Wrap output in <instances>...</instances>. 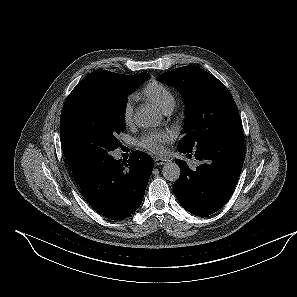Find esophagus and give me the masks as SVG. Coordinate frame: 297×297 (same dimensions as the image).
<instances>
[{
  "label": "esophagus",
  "instance_id": "esophagus-1",
  "mask_svg": "<svg viewBox=\"0 0 297 297\" xmlns=\"http://www.w3.org/2000/svg\"><path fill=\"white\" fill-rule=\"evenodd\" d=\"M154 161H155V165H156V166H159V165H163V164H165V163L168 162L169 160L166 159V158H155Z\"/></svg>",
  "mask_w": 297,
  "mask_h": 297
}]
</instances>
